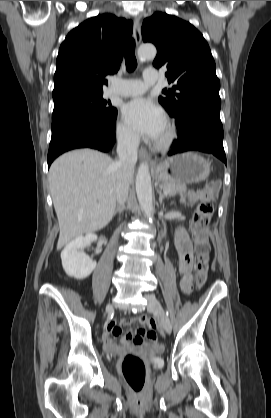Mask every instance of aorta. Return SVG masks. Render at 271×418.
I'll return each instance as SVG.
<instances>
[{
    "label": "aorta",
    "mask_w": 271,
    "mask_h": 418,
    "mask_svg": "<svg viewBox=\"0 0 271 418\" xmlns=\"http://www.w3.org/2000/svg\"><path fill=\"white\" fill-rule=\"evenodd\" d=\"M154 45H142L138 49V55L141 58L153 59L156 56ZM136 193L139 204L147 218L150 220L154 216V207L152 199V186L149 167L147 163H141L136 175Z\"/></svg>",
    "instance_id": "aorta-1"
}]
</instances>
